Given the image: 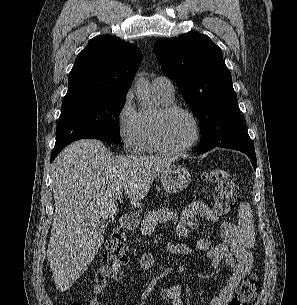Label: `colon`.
<instances>
[{
  "instance_id": "colon-1",
  "label": "colon",
  "mask_w": 297,
  "mask_h": 305,
  "mask_svg": "<svg viewBox=\"0 0 297 305\" xmlns=\"http://www.w3.org/2000/svg\"><path fill=\"white\" fill-rule=\"evenodd\" d=\"M205 180L215 184L213 210L217 216L227 215L235 206L237 195L236 176L227 168L215 166L205 173ZM127 239L123 231L111 234L108 239L104 260L118 265L126 261ZM260 289V279L252 273L239 286L229 305H250ZM70 305H80L74 301Z\"/></svg>"
}]
</instances>
